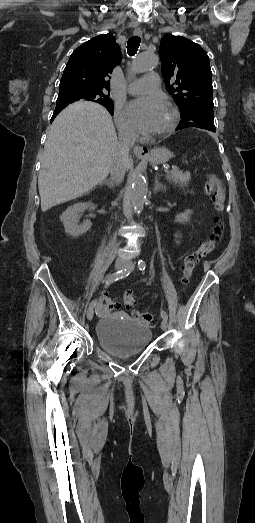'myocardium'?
Wrapping results in <instances>:
<instances>
[{
	"instance_id": "obj_1",
	"label": "myocardium",
	"mask_w": 255,
	"mask_h": 523,
	"mask_svg": "<svg viewBox=\"0 0 255 523\" xmlns=\"http://www.w3.org/2000/svg\"><path fill=\"white\" fill-rule=\"evenodd\" d=\"M163 104H165L166 106H168L172 112H173V121L169 127V129L163 133L162 135L158 136V137H155V138H149V137H144L143 139L147 142H154V141H158V140H161V139H164V138H167L169 137L170 135H172L178 124H179V120H180V113H179V110L177 109V107L175 105H173L172 103L168 102V101H164Z\"/></svg>"
}]
</instances>
